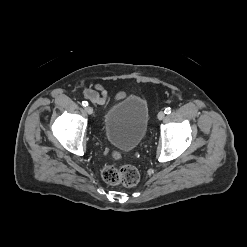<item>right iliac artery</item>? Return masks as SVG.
Returning <instances> with one entry per match:
<instances>
[{"mask_svg":"<svg viewBox=\"0 0 247 247\" xmlns=\"http://www.w3.org/2000/svg\"><path fill=\"white\" fill-rule=\"evenodd\" d=\"M82 105H83L84 107H86V106H88V102H87V101H82Z\"/></svg>","mask_w":247,"mask_h":247,"instance_id":"obj_1","label":"right iliac artery"}]
</instances>
